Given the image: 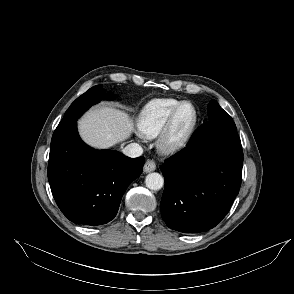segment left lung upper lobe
<instances>
[{
	"label": "left lung upper lobe",
	"mask_w": 294,
	"mask_h": 294,
	"mask_svg": "<svg viewBox=\"0 0 294 294\" xmlns=\"http://www.w3.org/2000/svg\"><path fill=\"white\" fill-rule=\"evenodd\" d=\"M207 112L210 121L232 120V118L219 106V104L215 100H212L209 103Z\"/></svg>",
	"instance_id": "left-lung-upper-lobe-1"
}]
</instances>
